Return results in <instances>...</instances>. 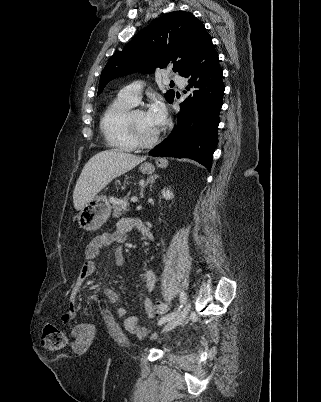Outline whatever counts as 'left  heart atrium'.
Returning <instances> with one entry per match:
<instances>
[{"mask_svg": "<svg viewBox=\"0 0 321 402\" xmlns=\"http://www.w3.org/2000/svg\"><path fill=\"white\" fill-rule=\"evenodd\" d=\"M148 120L156 125L162 126L166 120V110L161 102H154L146 112Z\"/></svg>", "mask_w": 321, "mask_h": 402, "instance_id": "obj_1", "label": "left heart atrium"}]
</instances>
